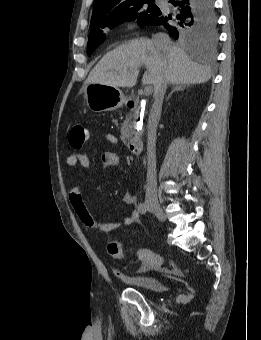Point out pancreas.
<instances>
[{
    "label": "pancreas",
    "mask_w": 261,
    "mask_h": 340,
    "mask_svg": "<svg viewBox=\"0 0 261 340\" xmlns=\"http://www.w3.org/2000/svg\"><path fill=\"white\" fill-rule=\"evenodd\" d=\"M135 119L136 115L130 113L121 128V140L126 143V141L132 138L133 135L137 134L135 131Z\"/></svg>",
    "instance_id": "obj_1"
}]
</instances>
